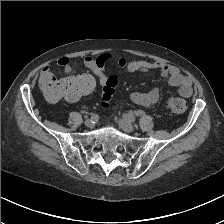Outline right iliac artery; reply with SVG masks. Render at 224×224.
Segmentation results:
<instances>
[{"instance_id":"1","label":"right iliac artery","mask_w":224,"mask_h":224,"mask_svg":"<svg viewBox=\"0 0 224 224\" xmlns=\"http://www.w3.org/2000/svg\"><path fill=\"white\" fill-rule=\"evenodd\" d=\"M99 116L97 114H92L91 115V120L95 123L96 121H98Z\"/></svg>"}]
</instances>
